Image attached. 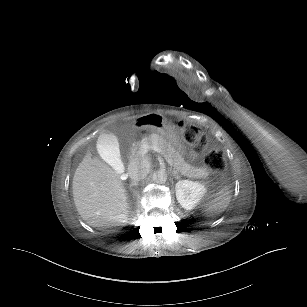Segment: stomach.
I'll return each instance as SVG.
<instances>
[{"label":"stomach","mask_w":307,"mask_h":307,"mask_svg":"<svg viewBox=\"0 0 307 307\" xmlns=\"http://www.w3.org/2000/svg\"><path fill=\"white\" fill-rule=\"evenodd\" d=\"M136 125L142 127H148L152 130L157 131L164 137L168 142L177 147L179 152L184 153V146L181 142L180 135L170 122H168L162 115L152 113L143 115L136 119Z\"/></svg>","instance_id":"stomach-1"}]
</instances>
